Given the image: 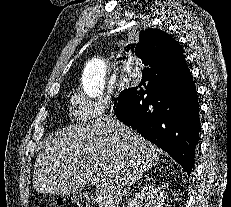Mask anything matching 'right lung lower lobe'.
<instances>
[{
    "mask_svg": "<svg viewBox=\"0 0 231 207\" xmlns=\"http://www.w3.org/2000/svg\"><path fill=\"white\" fill-rule=\"evenodd\" d=\"M149 31H141L140 36ZM114 114L166 151L190 175L200 117L196 87L187 65L166 71L157 66L144 68L140 84L120 93Z\"/></svg>",
    "mask_w": 231,
    "mask_h": 207,
    "instance_id": "right-lung-lower-lobe-1",
    "label": "right lung lower lobe"
}]
</instances>
